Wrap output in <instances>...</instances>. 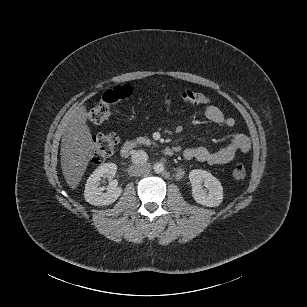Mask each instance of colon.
<instances>
[{"label":"colon","mask_w":307,"mask_h":307,"mask_svg":"<svg viewBox=\"0 0 307 307\" xmlns=\"http://www.w3.org/2000/svg\"><path fill=\"white\" fill-rule=\"evenodd\" d=\"M133 93V89L129 85H119L107 89L101 95L99 104L87 113V120L92 125H100L108 119L114 106L124 99L129 98ZM180 100L185 105L207 104L209 98L200 92L186 90L181 94ZM175 100L171 96H166L163 99L162 106L169 109L173 106ZM116 134H99L94 138V150L92 161L95 164H100L111 156L118 144ZM246 176V168L243 163H237L232 171V177L235 180H242Z\"/></svg>","instance_id":"5ec220e1"}]
</instances>
